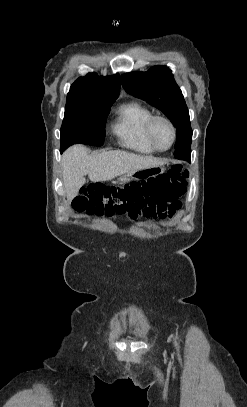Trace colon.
Wrapping results in <instances>:
<instances>
[{
  "label": "colon",
  "instance_id": "obj_1",
  "mask_svg": "<svg viewBox=\"0 0 247 407\" xmlns=\"http://www.w3.org/2000/svg\"><path fill=\"white\" fill-rule=\"evenodd\" d=\"M188 170L175 164L165 174L118 186L91 184L74 198L77 212L96 215H129L143 208L148 201L176 202L187 187Z\"/></svg>",
  "mask_w": 247,
  "mask_h": 407
}]
</instances>
